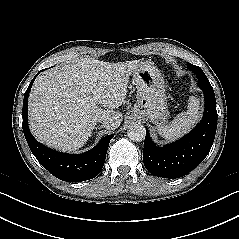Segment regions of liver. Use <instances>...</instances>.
<instances>
[{
	"instance_id": "liver-1",
	"label": "liver",
	"mask_w": 239,
	"mask_h": 239,
	"mask_svg": "<svg viewBox=\"0 0 239 239\" xmlns=\"http://www.w3.org/2000/svg\"><path fill=\"white\" fill-rule=\"evenodd\" d=\"M137 67V60L109 63L82 58L44 72L35 80L28 101L32 134L48 147L74 152L87 142L101 116L111 119L104 127L115 130L123 116L113 109L125 101L129 76Z\"/></svg>"
}]
</instances>
